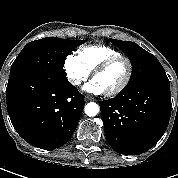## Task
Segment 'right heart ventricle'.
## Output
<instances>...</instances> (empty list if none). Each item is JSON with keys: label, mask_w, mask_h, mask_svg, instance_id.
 <instances>
[{"label": "right heart ventricle", "mask_w": 178, "mask_h": 178, "mask_svg": "<svg viewBox=\"0 0 178 178\" xmlns=\"http://www.w3.org/2000/svg\"><path fill=\"white\" fill-rule=\"evenodd\" d=\"M117 55L121 53L107 45H87L78 51L79 59L89 72H93L106 59Z\"/></svg>", "instance_id": "obj_1"}]
</instances>
